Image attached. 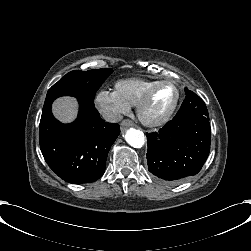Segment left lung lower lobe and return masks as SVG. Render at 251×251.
<instances>
[{"label":"left lung lower lobe","instance_id":"0a47b994","mask_svg":"<svg viewBox=\"0 0 251 251\" xmlns=\"http://www.w3.org/2000/svg\"><path fill=\"white\" fill-rule=\"evenodd\" d=\"M147 141L149 172L163 183L177 184L196 175L209 155V117L174 118L159 132L147 133Z\"/></svg>","mask_w":251,"mask_h":251}]
</instances>
